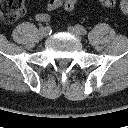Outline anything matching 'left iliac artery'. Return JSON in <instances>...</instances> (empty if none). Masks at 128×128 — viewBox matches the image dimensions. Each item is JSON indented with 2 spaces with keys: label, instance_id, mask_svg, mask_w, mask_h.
<instances>
[{
  "label": "left iliac artery",
  "instance_id": "obj_1",
  "mask_svg": "<svg viewBox=\"0 0 128 128\" xmlns=\"http://www.w3.org/2000/svg\"><path fill=\"white\" fill-rule=\"evenodd\" d=\"M76 28L78 29V31L82 34V35H86L87 34V31L86 29L81 26V25H76Z\"/></svg>",
  "mask_w": 128,
  "mask_h": 128
}]
</instances>
